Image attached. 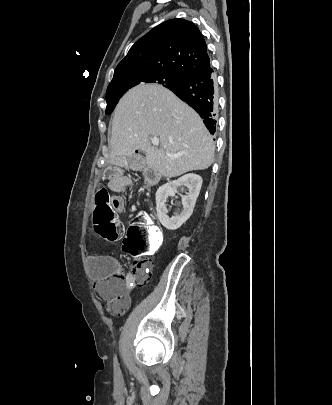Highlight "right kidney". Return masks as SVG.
Listing matches in <instances>:
<instances>
[{
	"instance_id": "right-kidney-1",
	"label": "right kidney",
	"mask_w": 332,
	"mask_h": 405,
	"mask_svg": "<svg viewBox=\"0 0 332 405\" xmlns=\"http://www.w3.org/2000/svg\"><path fill=\"white\" fill-rule=\"evenodd\" d=\"M179 186L188 187L189 193L182 196L183 211L179 215L169 218L167 215L166 201L169 196L175 195ZM201 186V176L197 174H186L158 188L156 192V211L159 221L166 229L176 230L190 218Z\"/></svg>"
}]
</instances>
